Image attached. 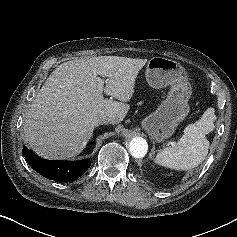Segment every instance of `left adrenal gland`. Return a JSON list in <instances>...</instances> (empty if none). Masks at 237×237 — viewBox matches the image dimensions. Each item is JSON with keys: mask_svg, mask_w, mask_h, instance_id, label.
<instances>
[{"mask_svg": "<svg viewBox=\"0 0 237 237\" xmlns=\"http://www.w3.org/2000/svg\"><path fill=\"white\" fill-rule=\"evenodd\" d=\"M154 149H155V148L153 147V150H152V152H154ZM151 157H152V153L150 154V158H151Z\"/></svg>", "mask_w": 237, "mask_h": 237, "instance_id": "1", "label": "left adrenal gland"}]
</instances>
